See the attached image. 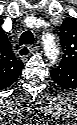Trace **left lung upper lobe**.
<instances>
[{"instance_id":"left-lung-upper-lobe-1","label":"left lung upper lobe","mask_w":77,"mask_h":125,"mask_svg":"<svg viewBox=\"0 0 77 125\" xmlns=\"http://www.w3.org/2000/svg\"><path fill=\"white\" fill-rule=\"evenodd\" d=\"M60 39L63 48V56L60 65L76 67L77 66V19H65L60 27ZM72 73V72H71ZM71 73L66 72L61 77L53 79L63 88L72 86Z\"/></svg>"}]
</instances>
